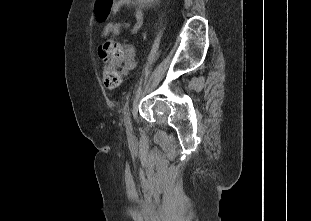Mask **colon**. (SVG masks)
<instances>
[{"label": "colon", "mask_w": 311, "mask_h": 221, "mask_svg": "<svg viewBox=\"0 0 311 221\" xmlns=\"http://www.w3.org/2000/svg\"><path fill=\"white\" fill-rule=\"evenodd\" d=\"M117 0H100L96 1L95 6L98 10H94L95 22H104L105 17H110L113 10V4ZM100 58L104 62L103 80L106 88L118 86V83L124 72L122 67L127 57V50L120 46L113 38L104 37L98 48Z\"/></svg>", "instance_id": "obj_1"}]
</instances>
